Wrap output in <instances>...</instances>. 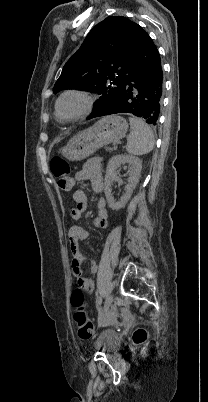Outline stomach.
<instances>
[{"mask_svg": "<svg viewBox=\"0 0 208 402\" xmlns=\"http://www.w3.org/2000/svg\"><path fill=\"white\" fill-rule=\"evenodd\" d=\"M127 130L128 124L121 116H117V114L104 116L91 128L73 136L67 146L61 150V154L71 162L85 160L97 152L99 148L125 138Z\"/></svg>", "mask_w": 208, "mask_h": 402, "instance_id": "1", "label": "stomach"}]
</instances>
